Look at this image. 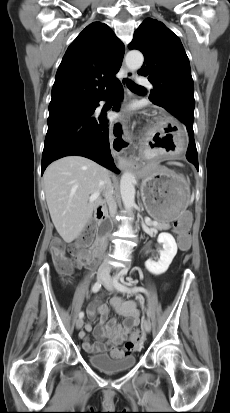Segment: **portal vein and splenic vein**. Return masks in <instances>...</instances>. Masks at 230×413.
<instances>
[{
	"mask_svg": "<svg viewBox=\"0 0 230 413\" xmlns=\"http://www.w3.org/2000/svg\"><path fill=\"white\" fill-rule=\"evenodd\" d=\"M99 192H95V193H93L91 196H90V200H95L98 196H99ZM153 225H156L157 223L156 222H153L152 223Z\"/></svg>",
	"mask_w": 230,
	"mask_h": 413,
	"instance_id": "portal-vein-and-splenic-vein-1",
	"label": "portal vein and splenic vein"
}]
</instances>
